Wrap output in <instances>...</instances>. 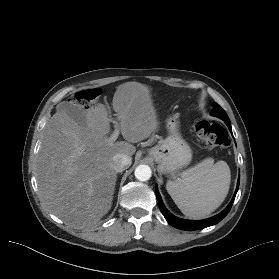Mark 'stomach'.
I'll list each match as a JSON object with an SVG mask.
<instances>
[{"mask_svg":"<svg viewBox=\"0 0 279 279\" xmlns=\"http://www.w3.org/2000/svg\"><path fill=\"white\" fill-rule=\"evenodd\" d=\"M169 136L149 150V156L158 164V170L164 174H174L187 166L192 158V151L181 137L176 118L168 120Z\"/></svg>","mask_w":279,"mask_h":279,"instance_id":"stomach-1","label":"stomach"}]
</instances>
